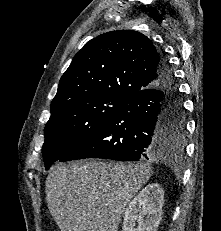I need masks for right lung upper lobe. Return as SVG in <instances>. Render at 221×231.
Returning a JSON list of instances; mask_svg holds the SVG:
<instances>
[{
    "label": "right lung upper lobe",
    "mask_w": 221,
    "mask_h": 231,
    "mask_svg": "<svg viewBox=\"0 0 221 231\" xmlns=\"http://www.w3.org/2000/svg\"><path fill=\"white\" fill-rule=\"evenodd\" d=\"M162 55L145 35L117 30L89 41L62 75L51 114L90 96L128 99L156 84Z\"/></svg>",
    "instance_id": "right-lung-upper-lobe-1"
}]
</instances>
